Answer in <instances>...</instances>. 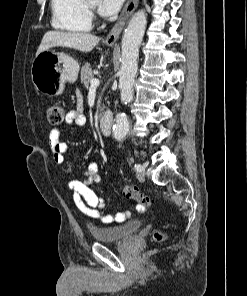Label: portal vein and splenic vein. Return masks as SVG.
Masks as SVG:
<instances>
[{"mask_svg":"<svg viewBox=\"0 0 247 296\" xmlns=\"http://www.w3.org/2000/svg\"><path fill=\"white\" fill-rule=\"evenodd\" d=\"M100 84L99 79L97 78H92L90 81V89H96Z\"/></svg>","mask_w":247,"mask_h":296,"instance_id":"1","label":"portal vein and splenic vein"}]
</instances>
